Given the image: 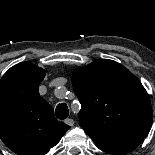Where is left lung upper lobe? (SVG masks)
Segmentation results:
<instances>
[{
  "instance_id": "left-lung-upper-lobe-1",
  "label": "left lung upper lobe",
  "mask_w": 155,
  "mask_h": 155,
  "mask_svg": "<svg viewBox=\"0 0 155 155\" xmlns=\"http://www.w3.org/2000/svg\"><path fill=\"white\" fill-rule=\"evenodd\" d=\"M80 126L96 144L144 139L152 126L149 96L139 79L113 60L98 59L72 74Z\"/></svg>"
}]
</instances>
